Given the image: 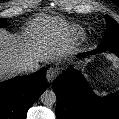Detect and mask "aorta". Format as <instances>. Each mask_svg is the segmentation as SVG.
<instances>
[{
  "label": "aorta",
  "mask_w": 119,
  "mask_h": 119,
  "mask_svg": "<svg viewBox=\"0 0 119 119\" xmlns=\"http://www.w3.org/2000/svg\"><path fill=\"white\" fill-rule=\"evenodd\" d=\"M41 102L46 105L50 106L56 103L57 97L53 90H46L41 95Z\"/></svg>",
  "instance_id": "1"
}]
</instances>
